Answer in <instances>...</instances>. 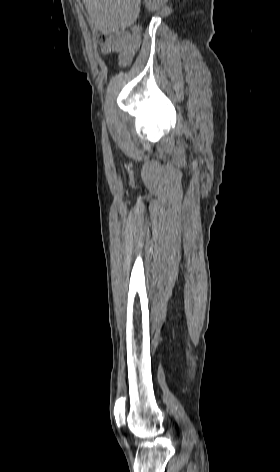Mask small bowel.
<instances>
[{"mask_svg": "<svg viewBox=\"0 0 280 472\" xmlns=\"http://www.w3.org/2000/svg\"><path fill=\"white\" fill-rule=\"evenodd\" d=\"M140 41L139 29L134 28L131 33L119 32L114 34L102 48V51L105 53L118 52L120 57L126 56L131 60L132 56L139 48Z\"/></svg>", "mask_w": 280, "mask_h": 472, "instance_id": "1", "label": "small bowel"}]
</instances>
